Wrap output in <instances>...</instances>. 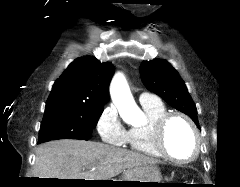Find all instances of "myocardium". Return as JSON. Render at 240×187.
Masks as SVG:
<instances>
[{
    "instance_id": "f54148a6",
    "label": "myocardium",
    "mask_w": 240,
    "mask_h": 187,
    "mask_svg": "<svg viewBox=\"0 0 240 187\" xmlns=\"http://www.w3.org/2000/svg\"><path fill=\"white\" fill-rule=\"evenodd\" d=\"M174 118H181L182 120H184L187 123V125L190 127L194 136V142H195L194 153L190 158L185 160L175 158L166 148L165 140H166L167 126L169 122ZM153 140H154L155 148L160 153V155L165 159L176 164H182V165L189 164L195 161L201 153V137H200L199 130L196 124L194 123V121L189 116L181 112H177V111L167 112L162 117H160L154 125Z\"/></svg>"
}]
</instances>
